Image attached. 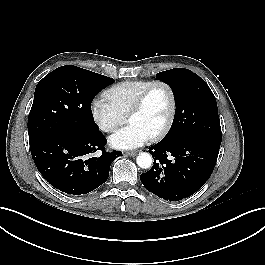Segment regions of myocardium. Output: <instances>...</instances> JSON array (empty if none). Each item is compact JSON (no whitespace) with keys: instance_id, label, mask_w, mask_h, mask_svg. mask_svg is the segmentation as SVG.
<instances>
[{"instance_id":"myocardium-1","label":"myocardium","mask_w":265,"mask_h":265,"mask_svg":"<svg viewBox=\"0 0 265 265\" xmlns=\"http://www.w3.org/2000/svg\"><path fill=\"white\" fill-rule=\"evenodd\" d=\"M157 86H161L167 91L169 98H170V109H169L167 119H166L165 123L163 124V126L161 127V129L159 131H157L153 136H151L150 139L153 141L160 140L161 138H163L168 133V131L170 130V128L173 124L174 118H175L176 96H175V92H174L173 88L171 87V85L165 81H162V80L152 81L148 86H146L141 91V93L138 95L137 99L135 100V102L133 103L132 107L130 108V110L127 114V121H129V119L133 115L138 113L143 108L144 103H145L148 95Z\"/></svg>"}]
</instances>
